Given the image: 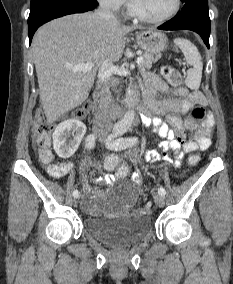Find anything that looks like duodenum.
<instances>
[{"instance_id": "obj_1", "label": "duodenum", "mask_w": 233, "mask_h": 284, "mask_svg": "<svg viewBox=\"0 0 233 284\" xmlns=\"http://www.w3.org/2000/svg\"><path fill=\"white\" fill-rule=\"evenodd\" d=\"M102 98H103V82L99 81L97 85V89L94 93V100H95L97 110H99L101 107ZM134 103H135V98L132 96L129 99L128 105L132 106L134 105Z\"/></svg>"}]
</instances>
